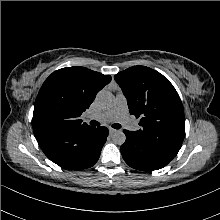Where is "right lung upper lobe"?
I'll use <instances>...</instances> for the list:
<instances>
[{"label": "right lung upper lobe", "instance_id": "right-lung-upper-lobe-1", "mask_svg": "<svg viewBox=\"0 0 220 220\" xmlns=\"http://www.w3.org/2000/svg\"><path fill=\"white\" fill-rule=\"evenodd\" d=\"M111 76L84 67H67L53 72L43 83L34 105L33 130L40 145L92 129L80 116Z\"/></svg>", "mask_w": 220, "mask_h": 220}]
</instances>
